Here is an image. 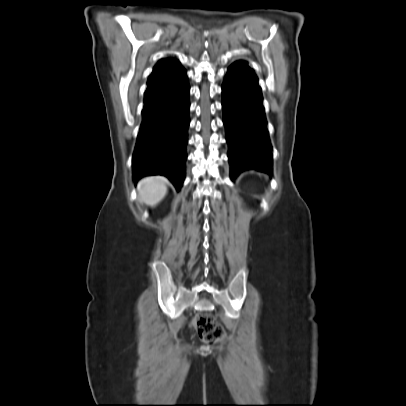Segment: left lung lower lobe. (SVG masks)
<instances>
[{"label":"left lung lower lobe","instance_id":"0a47b994","mask_svg":"<svg viewBox=\"0 0 406 406\" xmlns=\"http://www.w3.org/2000/svg\"><path fill=\"white\" fill-rule=\"evenodd\" d=\"M222 94L231 178L248 169L272 174V147L262 94L246 62L238 61L228 68Z\"/></svg>","mask_w":406,"mask_h":406}]
</instances>
